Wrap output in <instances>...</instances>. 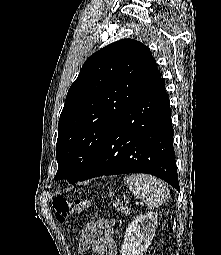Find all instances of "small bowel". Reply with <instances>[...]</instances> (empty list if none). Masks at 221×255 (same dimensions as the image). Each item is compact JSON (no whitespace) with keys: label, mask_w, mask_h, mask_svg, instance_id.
Wrapping results in <instances>:
<instances>
[{"label":"small bowel","mask_w":221,"mask_h":255,"mask_svg":"<svg viewBox=\"0 0 221 255\" xmlns=\"http://www.w3.org/2000/svg\"><path fill=\"white\" fill-rule=\"evenodd\" d=\"M92 250L95 255H117V244L111 220L89 223L77 243L78 255Z\"/></svg>","instance_id":"obj_1"}]
</instances>
